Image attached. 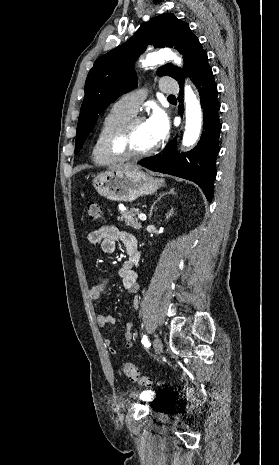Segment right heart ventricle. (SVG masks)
<instances>
[{
    "label": "right heart ventricle",
    "instance_id": "obj_1",
    "mask_svg": "<svg viewBox=\"0 0 279 465\" xmlns=\"http://www.w3.org/2000/svg\"><path fill=\"white\" fill-rule=\"evenodd\" d=\"M133 116L132 113L121 107L118 103L114 104L103 117L92 148V160L98 165H109L116 162L109 156L105 150V141L108 134L118 125Z\"/></svg>",
    "mask_w": 279,
    "mask_h": 465
}]
</instances>
